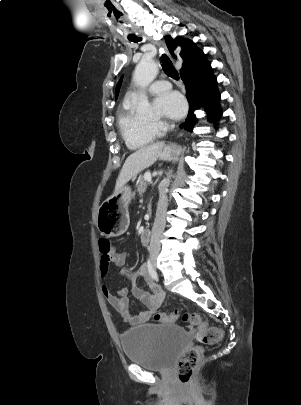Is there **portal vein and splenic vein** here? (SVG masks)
I'll use <instances>...</instances> for the list:
<instances>
[{
    "label": "portal vein and splenic vein",
    "mask_w": 301,
    "mask_h": 405,
    "mask_svg": "<svg viewBox=\"0 0 301 405\" xmlns=\"http://www.w3.org/2000/svg\"><path fill=\"white\" fill-rule=\"evenodd\" d=\"M144 177H145V179L148 180L149 183H152V179H151V176H150V175H147V174H146Z\"/></svg>",
    "instance_id": "1"
}]
</instances>
